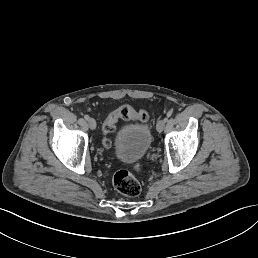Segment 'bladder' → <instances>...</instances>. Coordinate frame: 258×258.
Masks as SVG:
<instances>
[{
  "label": "bladder",
  "mask_w": 258,
  "mask_h": 258,
  "mask_svg": "<svg viewBox=\"0 0 258 258\" xmlns=\"http://www.w3.org/2000/svg\"><path fill=\"white\" fill-rule=\"evenodd\" d=\"M151 143V131L147 124L135 123L122 127L115 137L116 153L126 162H134L145 156Z\"/></svg>",
  "instance_id": "obj_1"
}]
</instances>
